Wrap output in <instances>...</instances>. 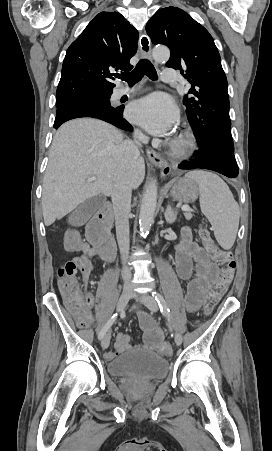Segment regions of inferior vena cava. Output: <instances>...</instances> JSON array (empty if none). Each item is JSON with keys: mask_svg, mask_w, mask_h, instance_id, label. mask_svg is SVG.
<instances>
[{"mask_svg": "<svg viewBox=\"0 0 272 451\" xmlns=\"http://www.w3.org/2000/svg\"><path fill=\"white\" fill-rule=\"evenodd\" d=\"M135 144H147L148 138L142 132H135ZM134 142H123L118 146L114 154L115 172L112 188V204L115 214V226L117 241L123 259L122 277L125 285L131 283V271L126 265L129 253V222L128 214L130 212L131 202V174L132 170L140 158L138 146Z\"/></svg>", "mask_w": 272, "mask_h": 451, "instance_id": "obj_1", "label": "inferior vena cava"}]
</instances>
